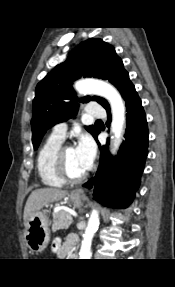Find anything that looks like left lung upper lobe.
Instances as JSON below:
<instances>
[{
	"label": "left lung upper lobe",
	"mask_w": 175,
	"mask_h": 287,
	"mask_svg": "<svg viewBox=\"0 0 175 287\" xmlns=\"http://www.w3.org/2000/svg\"><path fill=\"white\" fill-rule=\"evenodd\" d=\"M81 76L109 80L123 98L132 85L129 74L112 45L99 38L81 42L67 60L57 65L36 87L31 121L34 149L39 146L47 129L77 114L78 103L72 83ZM90 100L98 102L107 111L110 110L108 102L98 96H87L80 99V102ZM86 129L93 137L99 132L94 126Z\"/></svg>",
	"instance_id": "1"
}]
</instances>
